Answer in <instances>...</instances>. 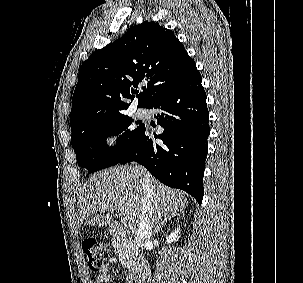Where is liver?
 Instances as JSON below:
<instances>
[{"label":"liver","instance_id":"liver-1","mask_svg":"<svg viewBox=\"0 0 303 283\" xmlns=\"http://www.w3.org/2000/svg\"><path fill=\"white\" fill-rule=\"evenodd\" d=\"M145 176L150 180L152 195L144 208L142 180ZM187 204L184 192L166 187L144 168L116 166L92 175L81 190L78 224L87 220L89 225L111 226L112 213L118 212L127 217L136 230L142 214L154 225L166 217L179 215ZM105 211L108 213L104 214Z\"/></svg>","mask_w":303,"mask_h":283}]
</instances>
